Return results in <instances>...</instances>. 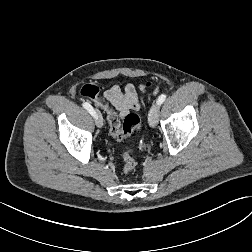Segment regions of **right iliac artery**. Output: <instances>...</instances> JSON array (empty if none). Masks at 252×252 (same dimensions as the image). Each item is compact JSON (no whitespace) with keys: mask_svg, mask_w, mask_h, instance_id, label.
I'll return each instance as SVG.
<instances>
[{"mask_svg":"<svg viewBox=\"0 0 252 252\" xmlns=\"http://www.w3.org/2000/svg\"><path fill=\"white\" fill-rule=\"evenodd\" d=\"M83 107H84L92 116H94V118L96 117L95 110L93 109V107H92L89 103H87V102L83 103Z\"/></svg>","mask_w":252,"mask_h":252,"instance_id":"1","label":"right iliac artery"}]
</instances>
